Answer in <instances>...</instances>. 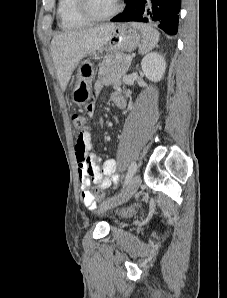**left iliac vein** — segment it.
Returning a JSON list of instances; mask_svg holds the SVG:
<instances>
[{
    "instance_id": "1",
    "label": "left iliac vein",
    "mask_w": 227,
    "mask_h": 298,
    "mask_svg": "<svg viewBox=\"0 0 227 298\" xmlns=\"http://www.w3.org/2000/svg\"><path fill=\"white\" fill-rule=\"evenodd\" d=\"M140 183H141V178L137 174L129 181L127 186L118 195L103 202V204L100 206L98 210V213H103L111 208H114L118 205L125 203L137 191V189L140 186Z\"/></svg>"
}]
</instances>
